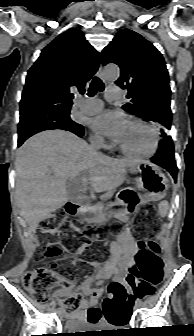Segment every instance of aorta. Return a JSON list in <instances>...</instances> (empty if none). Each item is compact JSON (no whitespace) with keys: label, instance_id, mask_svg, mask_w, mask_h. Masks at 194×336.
<instances>
[{"label":"aorta","instance_id":"762f6f07","mask_svg":"<svg viewBox=\"0 0 194 336\" xmlns=\"http://www.w3.org/2000/svg\"><path fill=\"white\" fill-rule=\"evenodd\" d=\"M120 71L116 65H107L103 69V75L105 78L115 80L119 77Z\"/></svg>","mask_w":194,"mask_h":336}]
</instances>
